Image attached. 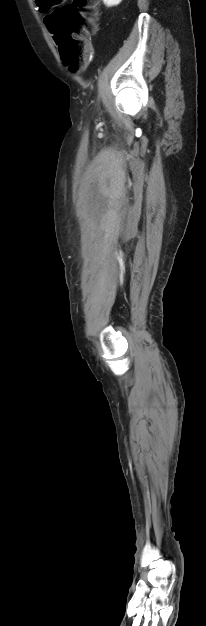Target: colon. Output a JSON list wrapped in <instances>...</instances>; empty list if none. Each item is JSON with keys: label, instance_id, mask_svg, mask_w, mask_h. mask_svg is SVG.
<instances>
[{"label": "colon", "instance_id": "5ec220e1", "mask_svg": "<svg viewBox=\"0 0 206 626\" xmlns=\"http://www.w3.org/2000/svg\"><path fill=\"white\" fill-rule=\"evenodd\" d=\"M41 0L43 8L56 7L48 16V29L63 63L73 72L81 69L89 54L88 36L96 30L98 0Z\"/></svg>", "mask_w": 206, "mask_h": 626}]
</instances>
